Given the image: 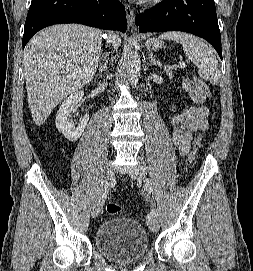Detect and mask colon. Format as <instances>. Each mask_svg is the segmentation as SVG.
Returning <instances> with one entry per match:
<instances>
[{"label":"colon","instance_id":"5ec220e1","mask_svg":"<svg viewBox=\"0 0 253 271\" xmlns=\"http://www.w3.org/2000/svg\"><path fill=\"white\" fill-rule=\"evenodd\" d=\"M195 83L199 91L203 94V96L206 99L210 100L212 98V95H211L208 85L203 80H200V79H197ZM200 144H201V136H198L193 142L191 152L187 159L188 165L193 164L195 160L197 159L198 154H199ZM106 211L109 215H118L121 212V206L117 203H108L106 206Z\"/></svg>","mask_w":253,"mask_h":271}]
</instances>
